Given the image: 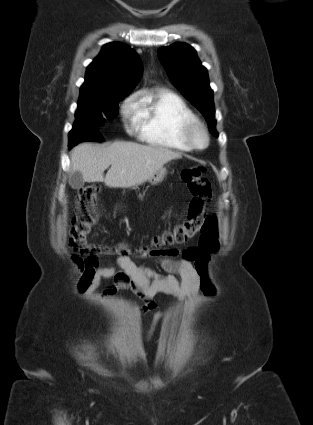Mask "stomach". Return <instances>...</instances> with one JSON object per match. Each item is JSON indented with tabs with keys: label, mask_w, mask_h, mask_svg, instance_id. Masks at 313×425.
I'll return each instance as SVG.
<instances>
[{
	"label": "stomach",
	"mask_w": 313,
	"mask_h": 425,
	"mask_svg": "<svg viewBox=\"0 0 313 425\" xmlns=\"http://www.w3.org/2000/svg\"><path fill=\"white\" fill-rule=\"evenodd\" d=\"M166 173H167L166 168L162 167L148 179L149 183H151L152 185H157L158 183L163 181Z\"/></svg>",
	"instance_id": "1"
}]
</instances>
